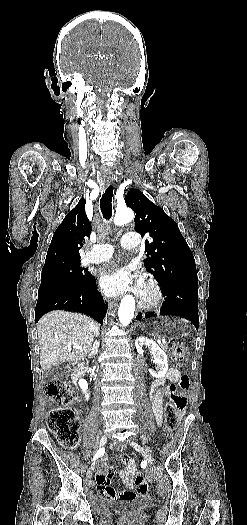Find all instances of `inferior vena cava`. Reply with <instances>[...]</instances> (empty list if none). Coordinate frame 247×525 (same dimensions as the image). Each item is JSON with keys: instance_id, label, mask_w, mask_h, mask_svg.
<instances>
[{"instance_id": "obj_1", "label": "inferior vena cava", "mask_w": 247, "mask_h": 525, "mask_svg": "<svg viewBox=\"0 0 247 525\" xmlns=\"http://www.w3.org/2000/svg\"><path fill=\"white\" fill-rule=\"evenodd\" d=\"M95 337H97V335H99V327H96V331L94 333Z\"/></svg>"}]
</instances>
